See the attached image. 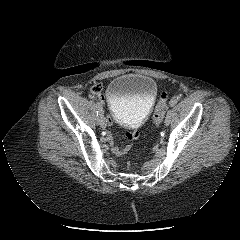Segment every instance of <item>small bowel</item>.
Masks as SVG:
<instances>
[{
  "instance_id": "small-bowel-1",
  "label": "small bowel",
  "mask_w": 240,
  "mask_h": 240,
  "mask_svg": "<svg viewBox=\"0 0 240 240\" xmlns=\"http://www.w3.org/2000/svg\"><path fill=\"white\" fill-rule=\"evenodd\" d=\"M98 100L99 101H104L105 100V95L104 94H99L98 95ZM106 122H107V128L108 129H113L114 128V120L112 116H107L106 117ZM140 138V133L138 131H128L126 133V139L129 142H136L138 139ZM109 140L111 141V139L109 138ZM130 145L125 146L124 148H120L118 146H114L112 148V151L115 155H122L125 154L129 149H130Z\"/></svg>"
}]
</instances>
